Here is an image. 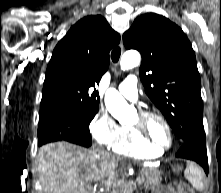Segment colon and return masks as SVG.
<instances>
[{
  "mask_svg": "<svg viewBox=\"0 0 221 193\" xmlns=\"http://www.w3.org/2000/svg\"><path fill=\"white\" fill-rule=\"evenodd\" d=\"M172 172H173V174L175 175V176H180L181 175V173H182V169H181V167H179V166H174L173 168H172ZM184 186V193H194V191H192L190 188H188V187H186L185 185H183Z\"/></svg>",
  "mask_w": 221,
  "mask_h": 193,
  "instance_id": "colon-1",
  "label": "colon"
}]
</instances>
